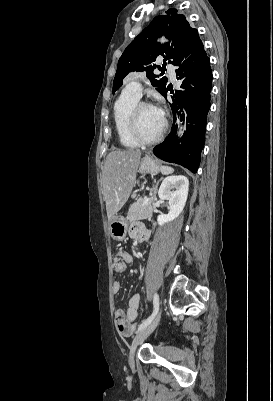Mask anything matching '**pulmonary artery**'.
Listing matches in <instances>:
<instances>
[{
    "label": "pulmonary artery",
    "instance_id": "pulmonary-artery-1",
    "mask_svg": "<svg viewBox=\"0 0 273 401\" xmlns=\"http://www.w3.org/2000/svg\"><path fill=\"white\" fill-rule=\"evenodd\" d=\"M170 63V60H167ZM166 71L176 72L178 70V65L176 63L166 64L164 66ZM172 82L176 81V76H170ZM143 83L140 80H131L129 85L123 87V92L125 94H132L134 97L140 99L142 97Z\"/></svg>",
    "mask_w": 273,
    "mask_h": 401
}]
</instances>
